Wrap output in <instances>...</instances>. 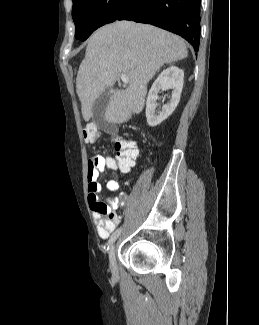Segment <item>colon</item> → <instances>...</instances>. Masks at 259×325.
Wrapping results in <instances>:
<instances>
[{
    "label": "colon",
    "mask_w": 259,
    "mask_h": 325,
    "mask_svg": "<svg viewBox=\"0 0 259 325\" xmlns=\"http://www.w3.org/2000/svg\"><path fill=\"white\" fill-rule=\"evenodd\" d=\"M83 136L85 140L94 142L99 136L96 126L93 124H88L83 129ZM114 145L118 157L122 159H131L136 156L138 151L137 147L132 141L116 139Z\"/></svg>",
    "instance_id": "obj_1"
}]
</instances>
